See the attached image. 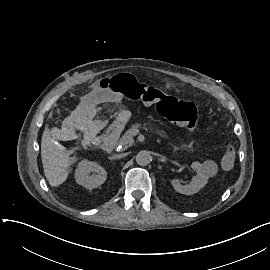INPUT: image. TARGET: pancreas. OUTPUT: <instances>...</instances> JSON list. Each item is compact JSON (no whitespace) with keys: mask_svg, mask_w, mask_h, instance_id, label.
<instances>
[{"mask_svg":"<svg viewBox=\"0 0 270 270\" xmlns=\"http://www.w3.org/2000/svg\"><path fill=\"white\" fill-rule=\"evenodd\" d=\"M140 126H141L140 124H135V125L132 126V129L138 128V127H140ZM132 129L128 130V131L125 133V135L122 137L123 140H127V139L130 140V139L133 138Z\"/></svg>","mask_w":270,"mask_h":270,"instance_id":"1","label":"pancreas"}]
</instances>
